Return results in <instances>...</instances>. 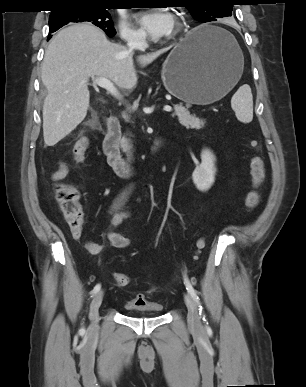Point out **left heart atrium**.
Listing matches in <instances>:
<instances>
[{
    "mask_svg": "<svg viewBox=\"0 0 306 387\" xmlns=\"http://www.w3.org/2000/svg\"><path fill=\"white\" fill-rule=\"evenodd\" d=\"M138 21L142 30L153 38L165 37L174 29L172 16L160 9L142 14Z\"/></svg>",
    "mask_w": 306,
    "mask_h": 387,
    "instance_id": "39dd6f15",
    "label": "left heart atrium"
}]
</instances>
